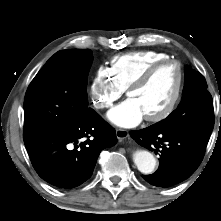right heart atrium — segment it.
Here are the masks:
<instances>
[{"label":"right heart atrium","mask_w":221,"mask_h":221,"mask_svg":"<svg viewBox=\"0 0 221 221\" xmlns=\"http://www.w3.org/2000/svg\"><path fill=\"white\" fill-rule=\"evenodd\" d=\"M123 89L112 77L108 68L100 66L90 84V97L96 109L105 110L124 94Z\"/></svg>","instance_id":"d8ad5b80"}]
</instances>
